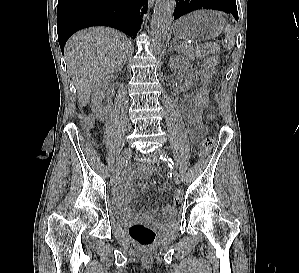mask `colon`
<instances>
[{
	"mask_svg": "<svg viewBox=\"0 0 299 273\" xmlns=\"http://www.w3.org/2000/svg\"><path fill=\"white\" fill-rule=\"evenodd\" d=\"M217 46L212 43H203L198 45L197 53L199 56H208L202 68V86L194 99V114L196 117H201L202 113L207 109L209 104L207 85L214 73L217 63ZM213 145L211 137H205L200 142V157H206ZM183 199V192L176 190L173 194V201L179 204ZM129 235L133 241L141 246H150L156 239V232L150 226L143 223H133L128 229Z\"/></svg>",
	"mask_w": 299,
	"mask_h": 273,
	"instance_id": "colon-1",
	"label": "colon"
}]
</instances>
